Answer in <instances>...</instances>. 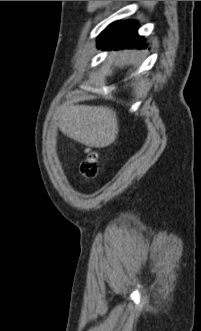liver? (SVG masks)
<instances>
[{"label": "liver", "instance_id": "obj_1", "mask_svg": "<svg viewBox=\"0 0 201 331\" xmlns=\"http://www.w3.org/2000/svg\"><path fill=\"white\" fill-rule=\"evenodd\" d=\"M140 52L123 50L118 55L116 65L124 66L138 60ZM55 120L61 132L74 141L94 148H104L112 144L118 135L116 112L106 106H60L55 112Z\"/></svg>", "mask_w": 201, "mask_h": 331}]
</instances>
